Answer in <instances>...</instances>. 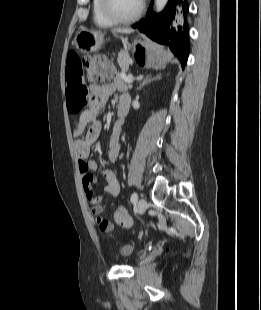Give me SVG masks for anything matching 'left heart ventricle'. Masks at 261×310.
Returning a JSON list of instances; mask_svg holds the SVG:
<instances>
[{"mask_svg": "<svg viewBox=\"0 0 261 310\" xmlns=\"http://www.w3.org/2000/svg\"><path fill=\"white\" fill-rule=\"evenodd\" d=\"M112 10L121 17L133 15L139 8L140 0H110Z\"/></svg>", "mask_w": 261, "mask_h": 310, "instance_id": "left-heart-ventricle-1", "label": "left heart ventricle"}]
</instances>
